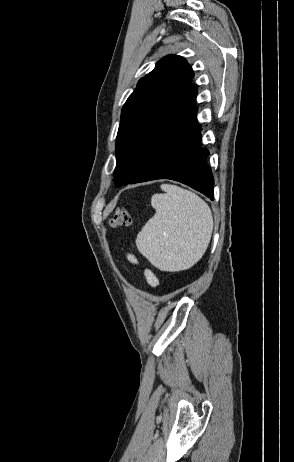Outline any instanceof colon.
I'll return each instance as SVG.
<instances>
[{"label": "colon", "instance_id": "1", "mask_svg": "<svg viewBox=\"0 0 294 462\" xmlns=\"http://www.w3.org/2000/svg\"><path fill=\"white\" fill-rule=\"evenodd\" d=\"M112 226H128L131 224V217L126 210H118L110 220Z\"/></svg>", "mask_w": 294, "mask_h": 462}]
</instances>
